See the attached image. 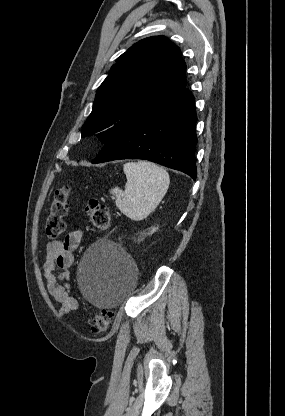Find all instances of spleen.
<instances>
[{"mask_svg": "<svg viewBox=\"0 0 285 416\" xmlns=\"http://www.w3.org/2000/svg\"><path fill=\"white\" fill-rule=\"evenodd\" d=\"M123 172L127 178L125 190L113 188L115 204L130 220H144L162 202L170 184L164 168L151 162H128Z\"/></svg>", "mask_w": 285, "mask_h": 416, "instance_id": "spleen-1", "label": "spleen"}]
</instances>
